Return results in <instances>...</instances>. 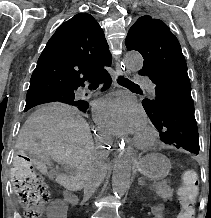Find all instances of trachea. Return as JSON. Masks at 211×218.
<instances>
[{"instance_id":"3493384b","label":"trachea","mask_w":211,"mask_h":218,"mask_svg":"<svg viewBox=\"0 0 211 218\" xmlns=\"http://www.w3.org/2000/svg\"><path fill=\"white\" fill-rule=\"evenodd\" d=\"M118 83L119 85H122L127 88H139V85H136L135 83L131 82L127 78H124L123 76H119Z\"/></svg>"}]
</instances>
